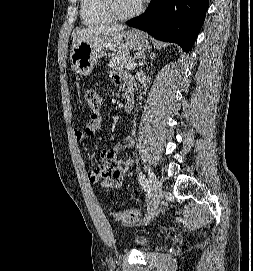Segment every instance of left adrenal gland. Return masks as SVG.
Here are the masks:
<instances>
[{
  "mask_svg": "<svg viewBox=\"0 0 253 271\" xmlns=\"http://www.w3.org/2000/svg\"><path fill=\"white\" fill-rule=\"evenodd\" d=\"M145 59H146V55H143L142 61H141L140 64H139V65L141 66V69H142V67L144 66Z\"/></svg>",
  "mask_w": 253,
  "mask_h": 271,
  "instance_id": "obj_1",
  "label": "left adrenal gland"
}]
</instances>
